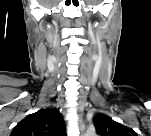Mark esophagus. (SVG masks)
I'll return each mask as SVG.
<instances>
[{"label": "esophagus", "instance_id": "1", "mask_svg": "<svg viewBox=\"0 0 151 136\" xmlns=\"http://www.w3.org/2000/svg\"><path fill=\"white\" fill-rule=\"evenodd\" d=\"M79 125H80V128L83 129L84 128V124H83V121L81 119H79Z\"/></svg>", "mask_w": 151, "mask_h": 136}]
</instances>
